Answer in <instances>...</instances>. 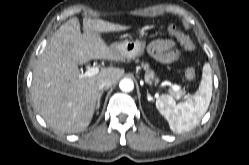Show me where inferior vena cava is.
Here are the masks:
<instances>
[{"label":"inferior vena cava","instance_id":"inferior-vena-cava-1","mask_svg":"<svg viewBox=\"0 0 249 165\" xmlns=\"http://www.w3.org/2000/svg\"><path fill=\"white\" fill-rule=\"evenodd\" d=\"M112 86V82L108 79L101 80L99 82L98 88L99 90H107Z\"/></svg>","mask_w":249,"mask_h":165}]
</instances>
